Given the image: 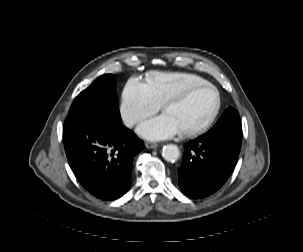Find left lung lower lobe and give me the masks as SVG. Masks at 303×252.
<instances>
[{
  "mask_svg": "<svg viewBox=\"0 0 303 252\" xmlns=\"http://www.w3.org/2000/svg\"><path fill=\"white\" fill-rule=\"evenodd\" d=\"M241 149V139L208 138L204 135L184 145L178 184L190 198L216 192L230 176Z\"/></svg>",
  "mask_w": 303,
  "mask_h": 252,
  "instance_id": "0a47b994",
  "label": "left lung lower lobe"
}]
</instances>
